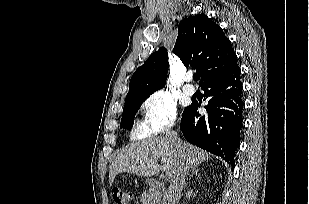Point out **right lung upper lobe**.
I'll use <instances>...</instances> for the list:
<instances>
[{
    "instance_id": "1",
    "label": "right lung upper lobe",
    "mask_w": 309,
    "mask_h": 204,
    "mask_svg": "<svg viewBox=\"0 0 309 204\" xmlns=\"http://www.w3.org/2000/svg\"><path fill=\"white\" fill-rule=\"evenodd\" d=\"M173 52L185 66L190 65L200 73L202 83L237 65L231 41L226 38L219 25L202 14L179 23ZM167 71V49L162 47L151 54L133 74L125 101L148 98L156 90L163 88Z\"/></svg>"
}]
</instances>
